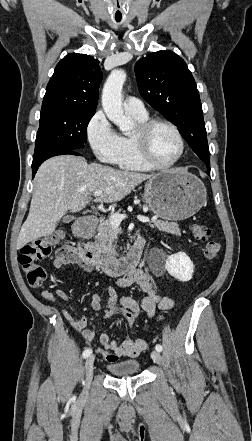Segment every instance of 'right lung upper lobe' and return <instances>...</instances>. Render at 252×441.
<instances>
[{
  "instance_id": "obj_1",
  "label": "right lung upper lobe",
  "mask_w": 252,
  "mask_h": 441,
  "mask_svg": "<svg viewBox=\"0 0 252 441\" xmlns=\"http://www.w3.org/2000/svg\"><path fill=\"white\" fill-rule=\"evenodd\" d=\"M102 79L99 61L70 53L57 64L43 98L42 109L95 111Z\"/></svg>"
}]
</instances>
